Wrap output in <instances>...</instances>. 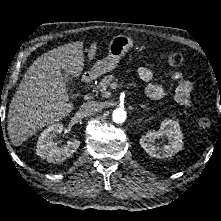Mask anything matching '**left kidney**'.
Returning <instances> with one entry per match:
<instances>
[{
  "mask_svg": "<svg viewBox=\"0 0 221 221\" xmlns=\"http://www.w3.org/2000/svg\"><path fill=\"white\" fill-rule=\"evenodd\" d=\"M165 137L167 144L160 147L156 140ZM183 135L179 123L171 119L162 121L159 131H149L140 138V145L152 157L164 159L177 154L183 147Z\"/></svg>",
  "mask_w": 221,
  "mask_h": 221,
  "instance_id": "1",
  "label": "left kidney"
}]
</instances>
